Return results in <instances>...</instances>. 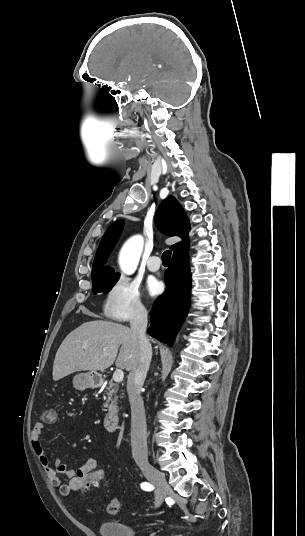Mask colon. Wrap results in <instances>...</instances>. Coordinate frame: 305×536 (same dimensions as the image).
<instances>
[{
  "label": "colon",
  "instance_id": "5ec220e1",
  "mask_svg": "<svg viewBox=\"0 0 305 536\" xmlns=\"http://www.w3.org/2000/svg\"><path fill=\"white\" fill-rule=\"evenodd\" d=\"M55 417H56L55 407L47 408L44 411V413L40 414V419L45 420L47 422L53 421ZM101 474L103 476H106L108 474V471L106 469H103L101 471ZM84 480L85 482H83L82 487H83V491H86L88 489L89 490L94 489V487L98 485V483H100L101 480H103V477H101V475L98 474V471H95L94 474L92 473L86 474L84 477ZM120 508H121V499L119 496L114 497L107 504V511L110 514H117L120 511Z\"/></svg>",
  "mask_w": 305,
  "mask_h": 536
}]
</instances>
